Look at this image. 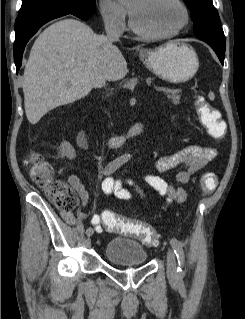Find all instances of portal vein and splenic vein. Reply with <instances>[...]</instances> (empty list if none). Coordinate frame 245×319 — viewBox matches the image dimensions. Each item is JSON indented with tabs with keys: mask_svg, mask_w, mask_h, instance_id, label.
<instances>
[{
	"mask_svg": "<svg viewBox=\"0 0 245 319\" xmlns=\"http://www.w3.org/2000/svg\"><path fill=\"white\" fill-rule=\"evenodd\" d=\"M156 91L157 92H169V91H171V89L168 87H157Z\"/></svg>",
	"mask_w": 245,
	"mask_h": 319,
	"instance_id": "18ae733b",
	"label": "portal vein and splenic vein"
}]
</instances>
